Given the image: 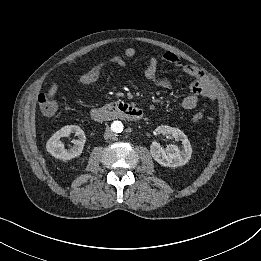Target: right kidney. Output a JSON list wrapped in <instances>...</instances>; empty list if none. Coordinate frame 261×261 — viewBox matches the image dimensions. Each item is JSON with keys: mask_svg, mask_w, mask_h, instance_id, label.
Instances as JSON below:
<instances>
[{"mask_svg": "<svg viewBox=\"0 0 261 261\" xmlns=\"http://www.w3.org/2000/svg\"><path fill=\"white\" fill-rule=\"evenodd\" d=\"M72 133H74L78 139L73 141V147L65 149L61 138L68 137ZM85 142V133L79 126L67 125L52 135L46 143V149L53 157L57 159L71 160L81 155Z\"/></svg>", "mask_w": 261, "mask_h": 261, "instance_id": "obj_1", "label": "right kidney"}]
</instances>
